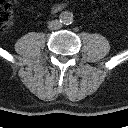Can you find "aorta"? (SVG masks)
I'll return each mask as SVG.
<instances>
[{
  "label": "aorta",
  "mask_w": 128,
  "mask_h": 128,
  "mask_svg": "<svg viewBox=\"0 0 128 128\" xmlns=\"http://www.w3.org/2000/svg\"><path fill=\"white\" fill-rule=\"evenodd\" d=\"M60 22L69 25L73 22V14L69 11H63L60 13Z\"/></svg>",
  "instance_id": "aorta-1"
}]
</instances>
